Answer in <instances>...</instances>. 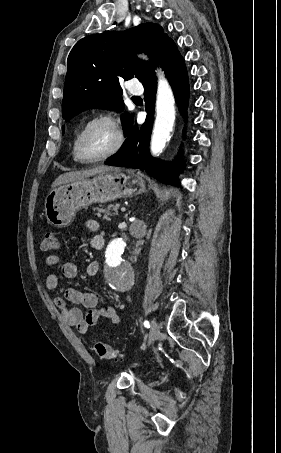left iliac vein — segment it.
I'll return each instance as SVG.
<instances>
[{"instance_id": "left-iliac-vein-1", "label": "left iliac vein", "mask_w": 281, "mask_h": 453, "mask_svg": "<svg viewBox=\"0 0 281 453\" xmlns=\"http://www.w3.org/2000/svg\"><path fill=\"white\" fill-rule=\"evenodd\" d=\"M150 326L151 327H150V331H149L148 341L150 343H153L157 339V336L159 334V327L155 321H152L150 323ZM142 348L145 350L147 347L144 345Z\"/></svg>"}]
</instances>
